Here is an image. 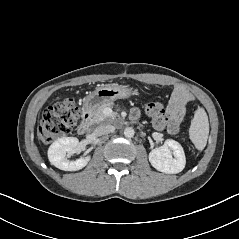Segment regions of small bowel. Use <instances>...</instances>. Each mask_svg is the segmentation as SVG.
Segmentation results:
<instances>
[{"mask_svg": "<svg viewBox=\"0 0 239 239\" xmlns=\"http://www.w3.org/2000/svg\"><path fill=\"white\" fill-rule=\"evenodd\" d=\"M190 100L187 91L178 88L173 93L169 105L166 109L167 125L170 133H176L179 130L180 123L185 115L186 104ZM139 110L134 109L131 113L133 119L139 117ZM148 114V113H147Z\"/></svg>", "mask_w": 239, "mask_h": 239, "instance_id": "obj_1", "label": "small bowel"}]
</instances>
